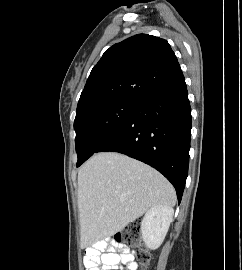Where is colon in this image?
Returning <instances> with one entry per match:
<instances>
[{"label": "colon", "instance_id": "1", "mask_svg": "<svg viewBox=\"0 0 242 270\" xmlns=\"http://www.w3.org/2000/svg\"><path fill=\"white\" fill-rule=\"evenodd\" d=\"M141 235V226L138 222H131L128 226L121 232L117 233L114 237V242L130 245L137 243ZM137 260L141 267L149 266L153 261L152 254L145 248H140L139 253L137 254Z\"/></svg>", "mask_w": 242, "mask_h": 270}]
</instances>
